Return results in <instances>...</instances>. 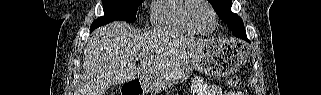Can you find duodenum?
Listing matches in <instances>:
<instances>
[{
	"label": "duodenum",
	"instance_id": "obj_1",
	"mask_svg": "<svg viewBox=\"0 0 321 95\" xmlns=\"http://www.w3.org/2000/svg\"><path fill=\"white\" fill-rule=\"evenodd\" d=\"M137 84L140 86L141 84H143V80H137Z\"/></svg>",
	"mask_w": 321,
	"mask_h": 95
}]
</instances>
